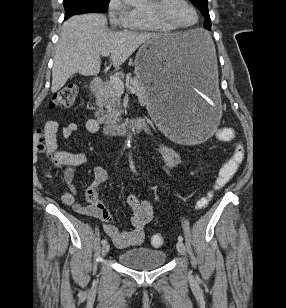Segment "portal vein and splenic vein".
<instances>
[{
	"label": "portal vein and splenic vein",
	"mask_w": 286,
	"mask_h": 308,
	"mask_svg": "<svg viewBox=\"0 0 286 308\" xmlns=\"http://www.w3.org/2000/svg\"><path fill=\"white\" fill-rule=\"evenodd\" d=\"M110 51H102L101 54L102 56H109L110 55ZM111 81L113 82V85H114V88L116 89V91L119 93V94H122L124 92V84L123 82L120 80L119 77L117 76H111L110 77ZM127 90L130 91L131 93H136V90L130 86L127 85Z\"/></svg>",
	"instance_id": "obj_1"
}]
</instances>
